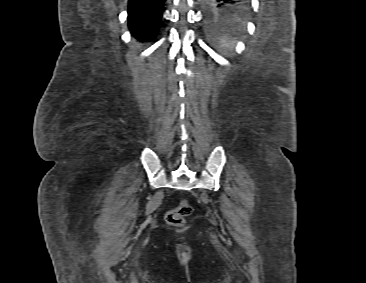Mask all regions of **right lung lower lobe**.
<instances>
[{
    "mask_svg": "<svg viewBox=\"0 0 366 283\" xmlns=\"http://www.w3.org/2000/svg\"><path fill=\"white\" fill-rule=\"evenodd\" d=\"M165 0H129L128 25L138 40L150 41L158 31Z\"/></svg>",
    "mask_w": 366,
    "mask_h": 283,
    "instance_id": "right-lung-lower-lobe-1",
    "label": "right lung lower lobe"
}]
</instances>
